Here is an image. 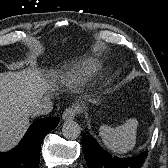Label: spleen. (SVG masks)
Wrapping results in <instances>:
<instances>
[{
  "label": "spleen",
  "mask_w": 168,
  "mask_h": 168,
  "mask_svg": "<svg viewBox=\"0 0 168 168\" xmlns=\"http://www.w3.org/2000/svg\"><path fill=\"white\" fill-rule=\"evenodd\" d=\"M138 121L128 119L122 125L111 127L102 125L99 134L104 145L112 152L124 154L134 148L136 144V129Z\"/></svg>",
  "instance_id": "spleen-1"
}]
</instances>
